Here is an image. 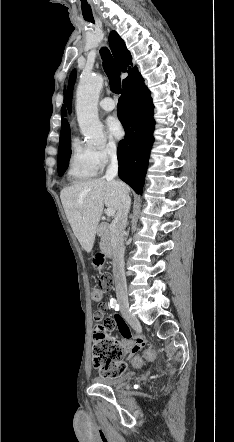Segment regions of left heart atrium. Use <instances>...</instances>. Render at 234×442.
<instances>
[{
	"mask_svg": "<svg viewBox=\"0 0 234 442\" xmlns=\"http://www.w3.org/2000/svg\"><path fill=\"white\" fill-rule=\"evenodd\" d=\"M107 132L115 140H119L124 136V128L118 118L112 116L107 119Z\"/></svg>",
	"mask_w": 234,
	"mask_h": 442,
	"instance_id": "obj_1",
	"label": "left heart atrium"
}]
</instances>
